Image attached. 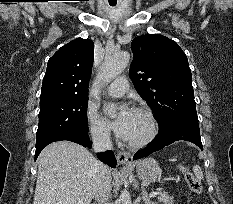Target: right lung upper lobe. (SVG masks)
Here are the masks:
<instances>
[{"label": "right lung upper lobe", "mask_w": 233, "mask_h": 204, "mask_svg": "<svg viewBox=\"0 0 233 204\" xmlns=\"http://www.w3.org/2000/svg\"><path fill=\"white\" fill-rule=\"evenodd\" d=\"M94 43L77 38L62 46L48 61L40 101L88 97Z\"/></svg>", "instance_id": "cb5924a9"}]
</instances>
